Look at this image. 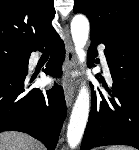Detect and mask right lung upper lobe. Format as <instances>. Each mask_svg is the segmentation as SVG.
Returning <instances> with one entry per match:
<instances>
[{
    "label": "right lung upper lobe",
    "mask_w": 139,
    "mask_h": 150,
    "mask_svg": "<svg viewBox=\"0 0 139 150\" xmlns=\"http://www.w3.org/2000/svg\"><path fill=\"white\" fill-rule=\"evenodd\" d=\"M53 0H0V45L30 51L55 30Z\"/></svg>",
    "instance_id": "1"
}]
</instances>
